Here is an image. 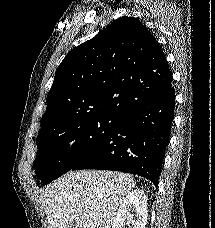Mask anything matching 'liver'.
<instances>
[{"label":"liver","mask_w":215,"mask_h":228,"mask_svg":"<svg viewBox=\"0 0 215 228\" xmlns=\"http://www.w3.org/2000/svg\"><path fill=\"white\" fill-rule=\"evenodd\" d=\"M134 186L131 174L77 170L45 186L40 202L49 228H112L121 200Z\"/></svg>","instance_id":"obj_1"}]
</instances>
